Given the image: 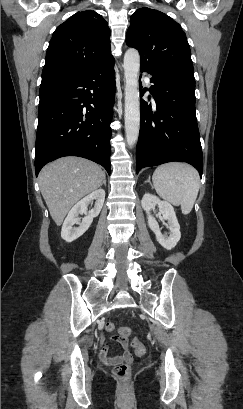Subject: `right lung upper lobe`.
<instances>
[{
  "label": "right lung upper lobe",
  "instance_id": "cb5924a9",
  "mask_svg": "<svg viewBox=\"0 0 243 409\" xmlns=\"http://www.w3.org/2000/svg\"><path fill=\"white\" fill-rule=\"evenodd\" d=\"M109 37L110 29L100 14L92 10L77 12L53 33L42 81L78 76L114 60Z\"/></svg>",
  "mask_w": 243,
  "mask_h": 409
}]
</instances>
